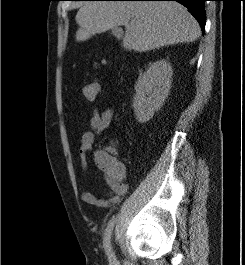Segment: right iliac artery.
Segmentation results:
<instances>
[{"label": "right iliac artery", "mask_w": 245, "mask_h": 265, "mask_svg": "<svg viewBox=\"0 0 245 265\" xmlns=\"http://www.w3.org/2000/svg\"><path fill=\"white\" fill-rule=\"evenodd\" d=\"M115 222H116V218L115 216H113V218L108 223V226L106 228L105 235H104V241H103L105 252L108 255L110 260L114 259V254L111 250L110 239H111V235H112Z\"/></svg>", "instance_id": "82829eb1"}]
</instances>
